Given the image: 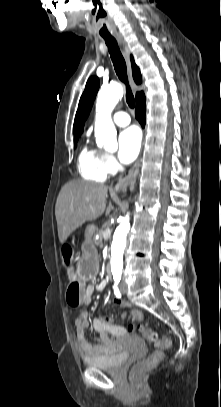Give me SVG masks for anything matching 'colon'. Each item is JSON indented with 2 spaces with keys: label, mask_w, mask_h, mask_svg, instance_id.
I'll use <instances>...</instances> for the list:
<instances>
[{
  "label": "colon",
  "mask_w": 221,
  "mask_h": 407,
  "mask_svg": "<svg viewBox=\"0 0 221 407\" xmlns=\"http://www.w3.org/2000/svg\"><path fill=\"white\" fill-rule=\"evenodd\" d=\"M64 258L68 262L70 258L69 254L64 253ZM81 288V283L75 278H72L68 291H66L65 294L66 306H70V309L72 311H79L81 309L85 297L84 291H81ZM125 310L127 311L125 314L128 316L130 313L134 312V307L128 306ZM131 318L134 320L135 325H140L141 322L145 320V315L143 313H138L136 316L133 315ZM140 331L147 339V341L150 343H154L158 349L155 350L146 359L136 363L132 367L131 376L133 380L140 379L147 371L156 366L158 362L164 357L163 349L170 346V341L167 338L160 339L158 335L146 325L140 326Z\"/></svg>",
  "instance_id": "colon-1"
}]
</instances>
